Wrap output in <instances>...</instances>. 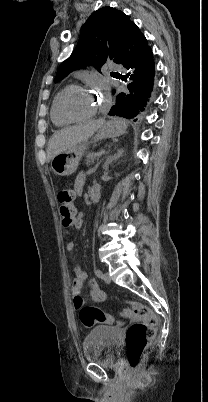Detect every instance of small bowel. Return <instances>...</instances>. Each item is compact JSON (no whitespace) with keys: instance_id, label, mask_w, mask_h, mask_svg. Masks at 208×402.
Listing matches in <instances>:
<instances>
[{"instance_id":"small-bowel-1","label":"small bowel","mask_w":208,"mask_h":402,"mask_svg":"<svg viewBox=\"0 0 208 402\" xmlns=\"http://www.w3.org/2000/svg\"><path fill=\"white\" fill-rule=\"evenodd\" d=\"M85 185V175L80 174L74 185V189L76 193L81 194L83 187ZM74 227L75 228H80L81 227V222L80 221H75L74 222ZM75 245L73 242H68L67 244V250L72 251L74 250ZM66 250V251H67ZM86 279L85 274L80 270V268L74 266L72 268V294H73V302L75 307L79 308L81 307L84 303L85 300L80 296L81 289L83 288L84 281ZM90 286V292H91V298L95 302H102L106 299V292L100 287L99 283L97 280L92 279L89 282Z\"/></svg>"}]
</instances>
